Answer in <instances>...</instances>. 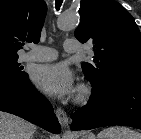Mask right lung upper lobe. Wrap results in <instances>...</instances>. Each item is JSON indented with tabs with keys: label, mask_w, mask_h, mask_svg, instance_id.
I'll return each mask as SVG.
<instances>
[{
	"label": "right lung upper lobe",
	"mask_w": 141,
	"mask_h": 139,
	"mask_svg": "<svg viewBox=\"0 0 141 139\" xmlns=\"http://www.w3.org/2000/svg\"><path fill=\"white\" fill-rule=\"evenodd\" d=\"M46 12L43 0H0V56H18L24 42H39Z\"/></svg>",
	"instance_id": "right-lung-upper-lobe-1"
}]
</instances>
